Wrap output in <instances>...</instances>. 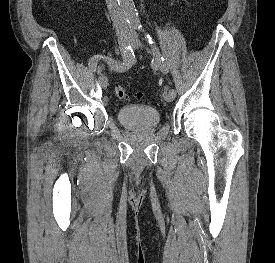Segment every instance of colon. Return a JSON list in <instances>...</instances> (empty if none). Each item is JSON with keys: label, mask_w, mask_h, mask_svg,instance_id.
<instances>
[{"label": "colon", "mask_w": 275, "mask_h": 263, "mask_svg": "<svg viewBox=\"0 0 275 263\" xmlns=\"http://www.w3.org/2000/svg\"><path fill=\"white\" fill-rule=\"evenodd\" d=\"M115 95L118 99H121V100H127L130 97L129 96V91L126 88L122 87V86H116L115 87ZM137 97L139 99H142L144 97V95L142 93H139L137 95Z\"/></svg>", "instance_id": "obj_1"}]
</instances>
